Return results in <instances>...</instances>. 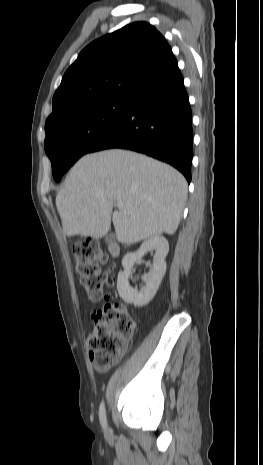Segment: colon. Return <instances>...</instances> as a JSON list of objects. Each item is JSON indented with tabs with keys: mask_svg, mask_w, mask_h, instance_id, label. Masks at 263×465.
<instances>
[{
	"mask_svg": "<svg viewBox=\"0 0 263 465\" xmlns=\"http://www.w3.org/2000/svg\"><path fill=\"white\" fill-rule=\"evenodd\" d=\"M75 269L81 283L91 298L102 296L104 284L112 285L113 279L102 272L107 256L96 239H88L73 248ZM135 329V322L117 301H108L94 315L89 336L90 360L98 370L115 365L121 358Z\"/></svg>",
	"mask_w": 263,
	"mask_h": 465,
	"instance_id": "1",
	"label": "colon"
}]
</instances>
